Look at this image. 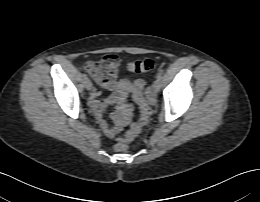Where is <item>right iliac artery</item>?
Listing matches in <instances>:
<instances>
[{
    "label": "right iliac artery",
    "mask_w": 260,
    "mask_h": 202,
    "mask_svg": "<svg viewBox=\"0 0 260 202\" xmlns=\"http://www.w3.org/2000/svg\"><path fill=\"white\" fill-rule=\"evenodd\" d=\"M83 77H84L85 80L87 79V75L86 74H84Z\"/></svg>",
    "instance_id": "obj_1"
}]
</instances>
